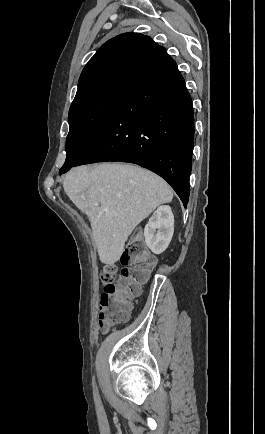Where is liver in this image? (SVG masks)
Returning <instances> with one entry per match:
<instances>
[{
	"label": "liver",
	"instance_id": "liver-1",
	"mask_svg": "<svg viewBox=\"0 0 265 434\" xmlns=\"http://www.w3.org/2000/svg\"><path fill=\"white\" fill-rule=\"evenodd\" d=\"M63 188L88 216L99 260L109 266L120 260L134 228L157 206L173 200L172 188L165 180L129 164L73 168L66 174Z\"/></svg>",
	"mask_w": 265,
	"mask_h": 434
}]
</instances>
